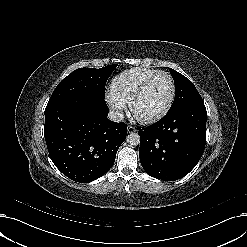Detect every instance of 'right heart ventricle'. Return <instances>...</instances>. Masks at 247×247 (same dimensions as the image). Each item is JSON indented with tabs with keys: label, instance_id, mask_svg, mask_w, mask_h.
Returning <instances> with one entry per match:
<instances>
[{
	"label": "right heart ventricle",
	"instance_id": "e07e8e85",
	"mask_svg": "<svg viewBox=\"0 0 247 247\" xmlns=\"http://www.w3.org/2000/svg\"><path fill=\"white\" fill-rule=\"evenodd\" d=\"M159 70L137 67L124 71L114 78L111 84V95L126 104L138 88Z\"/></svg>",
	"mask_w": 247,
	"mask_h": 247
}]
</instances>
